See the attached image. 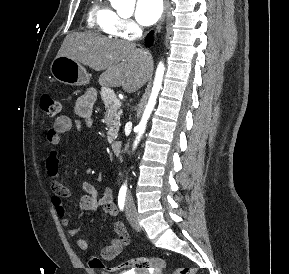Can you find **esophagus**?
<instances>
[{"instance_id":"34e87169","label":"esophagus","mask_w":289,"mask_h":274,"mask_svg":"<svg viewBox=\"0 0 289 274\" xmlns=\"http://www.w3.org/2000/svg\"><path fill=\"white\" fill-rule=\"evenodd\" d=\"M168 10H169V0H164V14H163V16L161 18V21L159 22V24L156 27V33L160 32V30H161V28H162V26L164 24L166 15L168 13Z\"/></svg>"}]
</instances>
